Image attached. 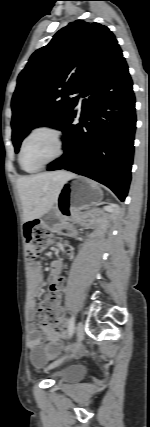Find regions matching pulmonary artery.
Here are the masks:
<instances>
[{
  "label": "pulmonary artery",
  "mask_w": 150,
  "mask_h": 427,
  "mask_svg": "<svg viewBox=\"0 0 150 427\" xmlns=\"http://www.w3.org/2000/svg\"><path fill=\"white\" fill-rule=\"evenodd\" d=\"M76 95L78 96L79 104H81L82 100H83V97L81 96L80 93H77Z\"/></svg>",
  "instance_id": "e3ab8cb5"
}]
</instances>
